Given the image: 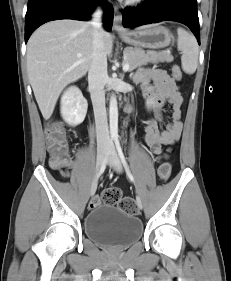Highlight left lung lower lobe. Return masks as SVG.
Instances as JSON below:
<instances>
[{"instance_id": "left-lung-lower-lobe-1", "label": "left lung lower lobe", "mask_w": 231, "mask_h": 281, "mask_svg": "<svg viewBox=\"0 0 231 281\" xmlns=\"http://www.w3.org/2000/svg\"><path fill=\"white\" fill-rule=\"evenodd\" d=\"M164 20L177 21L188 26L200 44L197 0H149L136 10L125 9L122 24L126 28Z\"/></svg>"}]
</instances>
